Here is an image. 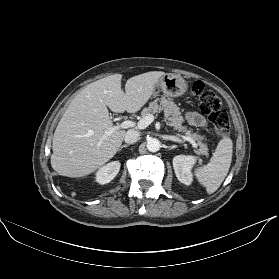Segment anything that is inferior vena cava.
<instances>
[{
  "mask_svg": "<svg viewBox=\"0 0 279 279\" xmlns=\"http://www.w3.org/2000/svg\"><path fill=\"white\" fill-rule=\"evenodd\" d=\"M140 139V133L136 130L130 129L125 134V142L127 144H133Z\"/></svg>",
  "mask_w": 279,
  "mask_h": 279,
  "instance_id": "inferior-vena-cava-1",
  "label": "inferior vena cava"
}]
</instances>
